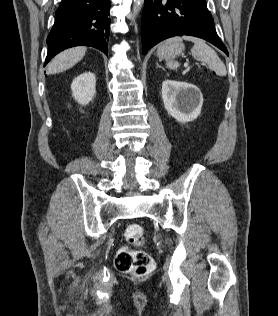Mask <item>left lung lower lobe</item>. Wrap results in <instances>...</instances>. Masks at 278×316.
I'll return each mask as SVG.
<instances>
[{"label":"left lung lower lobe","mask_w":278,"mask_h":316,"mask_svg":"<svg viewBox=\"0 0 278 316\" xmlns=\"http://www.w3.org/2000/svg\"><path fill=\"white\" fill-rule=\"evenodd\" d=\"M182 35L207 40L228 55L205 0H145L141 23L143 54L167 38Z\"/></svg>","instance_id":"obj_1"}]
</instances>
